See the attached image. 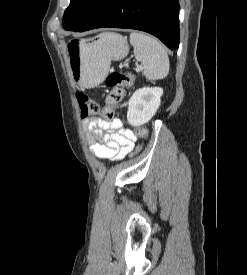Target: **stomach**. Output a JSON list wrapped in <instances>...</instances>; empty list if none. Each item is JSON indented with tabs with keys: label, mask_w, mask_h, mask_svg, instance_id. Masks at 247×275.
<instances>
[{
	"label": "stomach",
	"mask_w": 247,
	"mask_h": 275,
	"mask_svg": "<svg viewBox=\"0 0 247 275\" xmlns=\"http://www.w3.org/2000/svg\"><path fill=\"white\" fill-rule=\"evenodd\" d=\"M128 52L126 38L116 33H105L101 43L72 40L67 47L69 73L78 86L94 87L105 79L111 61L122 60Z\"/></svg>",
	"instance_id": "0dacf381"
}]
</instances>
